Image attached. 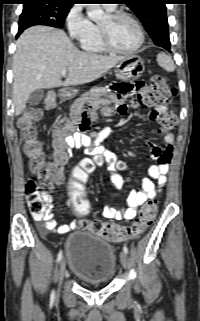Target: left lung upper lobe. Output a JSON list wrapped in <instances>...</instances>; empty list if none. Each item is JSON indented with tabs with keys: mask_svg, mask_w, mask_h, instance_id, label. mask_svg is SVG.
Here are the masks:
<instances>
[{
	"mask_svg": "<svg viewBox=\"0 0 200 321\" xmlns=\"http://www.w3.org/2000/svg\"><path fill=\"white\" fill-rule=\"evenodd\" d=\"M123 3L137 15L157 46L165 48L170 45L167 0H123Z\"/></svg>",
	"mask_w": 200,
	"mask_h": 321,
	"instance_id": "5c2ea615",
	"label": "left lung upper lobe"
}]
</instances>
